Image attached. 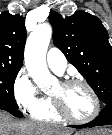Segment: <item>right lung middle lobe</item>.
<instances>
[{"mask_svg": "<svg viewBox=\"0 0 112 135\" xmlns=\"http://www.w3.org/2000/svg\"><path fill=\"white\" fill-rule=\"evenodd\" d=\"M19 68L0 67V106L18 108L14 98V82Z\"/></svg>", "mask_w": 112, "mask_h": 135, "instance_id": "dd1d6c3e", "label": "right lung middle lobe"}]
</instances>
